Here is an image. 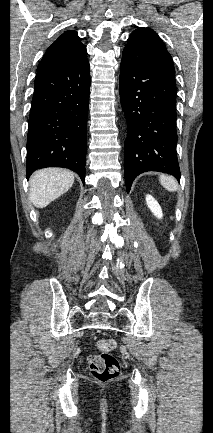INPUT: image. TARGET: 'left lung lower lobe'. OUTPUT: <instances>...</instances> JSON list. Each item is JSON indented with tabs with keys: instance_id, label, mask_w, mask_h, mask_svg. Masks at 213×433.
<instances>
[{
	"instance_id": "1",
	"label": "left lung lower lobe",
	"mask_w": 213,
	"mask_h": 433,
	"mask_svg": "<svg viewBox=\"0 0 213 433\" xmlns=\"http://www.w3.org/2000/svg\"><path fill=\"white\" fill-rule=\"evenodd\" d=\"M120 72V100L128 128L124 145L127 192L146 171L168 173L179 181L175 76L126 49Z\"/></svg>"
}]
</instances>
